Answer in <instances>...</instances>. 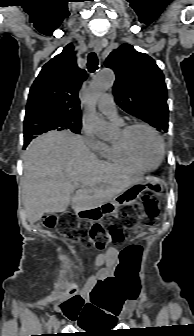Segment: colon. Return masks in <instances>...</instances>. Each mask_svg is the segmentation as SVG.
Returning a JSON list of instances; mask_svg holds the SVG:
<instances>
[{
    "label": "colon",
    "mask_w": 194,
    "mask_h": 336,
    "mask_svg": "<svg viewBox=\"0 0 194 336\" xmlns=\"http://www.w3.org/2000/svg\"><path fill=\"white\" fill-rule=\"evenodd\" d=\"M142 212L137 214L133 209H123L119 216L124 225H120L114 219L107 221V226L96 223L86 228L81 236V241L92 243L98 249H102L107 243L120 244L127 238V229L139 230L145 225H154L159 216V207L156 200L150 194H142L140 198ZM42 226L48 230L59 228L68 238L76 240V223L69 213L61 215H48L42 222ZM139 249L130 246L125 249L119 259L116 269L118 283L124 291L120 302L130 299L135 294V288L130 280V274L137 265ZM124 281V282H121ZM68 297L60 304L62 314L71 321H76L85 308L83 298L74 290L68 293Z\"/></svg>",
    "instance_id": "colon-1"
}]
</instances>
